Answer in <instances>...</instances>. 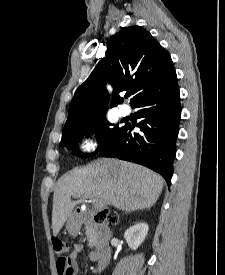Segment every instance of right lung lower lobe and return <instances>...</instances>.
<instances>
[{"label":"right lung lower lobe","mask_w":225,"mask_h":275,"mask_svg":"<svg viewBox=\"0 0 225 275\" xmlns=\"http://www.w3.org/2000/svg\"><path fill=\"white\" fill-rule=\"evenodd\" d=\"M132 107L139 108L138 115L143 120L137 127L143 133H134L135 125L125 124L100 150V156L144 165L161 174L170 186L181 117L177 80L158 92L143 96Z\"/></svg>","instance_id":"obj_1"}]
</instances>
